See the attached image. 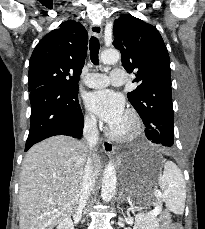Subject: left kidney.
<instances>
[{"instance_id":"left-kidney-1","label":"left kidney","mask_w":205,"mask_h":229,"mask_svg":"<svg viewBox=\"0 0 205 229\" xmlns=\"http://www.w3.org/2000/svg\"><path fill=\"white\" fill-rule=\"evenodd\" d=\"M133 229H160L158 219L151 213L141 212L136 215Z\"/></svg>"}]
</instances>
